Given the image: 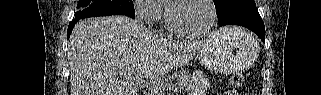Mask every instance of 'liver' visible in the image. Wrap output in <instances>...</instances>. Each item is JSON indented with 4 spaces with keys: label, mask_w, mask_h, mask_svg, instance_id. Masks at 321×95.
Segmentation results:
<instances>
[{
    "label": "liver",
    "mask_w": 321,
    "mask_h": 95,
    "mask_svg": "<svg viewBox=\"0 0 321 95\" xmlns=\"http://www.w3.org/2000/svg\"><path fill=\"white\" fill-rule=\"evenodd\" d=\"M205 40H169L126 16L80 20L69 43L71 95H134L189 63Z\"/></svg>",
    "instance_id": "obj_1"
}]
</instances>
